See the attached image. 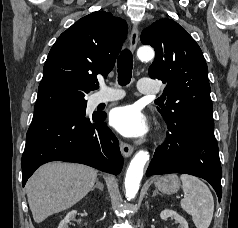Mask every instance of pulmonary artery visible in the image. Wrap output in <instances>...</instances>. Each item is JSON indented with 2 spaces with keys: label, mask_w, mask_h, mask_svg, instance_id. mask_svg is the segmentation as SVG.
Returning a JSON list of instances; mask_svg holds the SVG:
<instances>
[{
  "label": "pulmonary artery",
  "mask_w": 238,
  "mask_h": 228,
  "mask_svg": "<svg viewBox=\"0 0 238 228\" xmlns=\"http://www.w3.org/2000/svg\"><path fill=\"white\" fill-rule=\"evenodd\" d=\"M102 92L95 97V103H106L114 100H118L123 97V93L117 90H112L105 85L101 87ZM138 89L142 94L155 95L159 92V88L156 85L155 80L150 78H143L139 81Z\"/></svg>",
  "instance_id": "1"
}]
</instances>
